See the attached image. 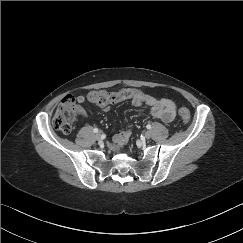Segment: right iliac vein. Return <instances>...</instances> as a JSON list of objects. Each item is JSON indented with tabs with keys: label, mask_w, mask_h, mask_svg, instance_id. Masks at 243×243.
I'll use <instances>...</instances> for the list:
<instances>
[{
	"label": "right iliac vein",
	"mask_w": 243,
	"mask_h": 243,
	"mask_svg": "<svg viewBox=\"0 0 243 243\" xmlns=\"http://www.w3.org/2000/svg\"><path fill=\"white\" fill-rule=\"evenodd\" d=\"M100 138H101L100 133H97V134L95 135V139H96V140H99Z\"/></svg>",
	"instance_id": "right-iliac-vein-1"
}]
</instances>
